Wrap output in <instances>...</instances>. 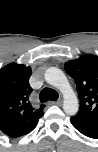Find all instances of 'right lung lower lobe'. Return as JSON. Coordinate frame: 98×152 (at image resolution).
Masks as SVG:
<instances>
[{"mask_svg":"<svg viewBox=\"0 0 98 152\" xmlns=\"http://www.w3.org/2000/svg\"><path fill=\"white\" fill-rule=\"evenodd\" d=\"M36 125H37V124H36ZM36 125H34V126H33L32 128H30L29 130H27L24 134H27V133H29L30 131H32V130L35 128ZM24 134H22V135H24ZM22 135H21V136H22Z\"/></svg>","mask_w":98,"mask_h":152,"instance_id":"1","label":"right lung lower lobe"}]
</instances>
